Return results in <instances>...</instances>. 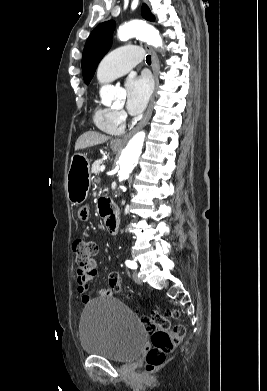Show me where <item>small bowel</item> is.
Here are the masks:
<instances>
[{
  "label": "small bowel",
  "mask_w": 267,
  "mask_h": 391,
  "mask_svg": "<svg viewBox=\"0 0 267 391\" xmlns=\"http://www.w3.org/2000/svg\"><path fill=\"white\" fill-rule=\"evenodd\" d=\"M78 218L81 220H87L89 212L86 207H81L77 212ZM97 269L96 263L94 262L90 269L86 271H76V282H77V291L80 294L81 301L83 303H88L90 301V297L87 294L89 282L96 276ZM113 294V291L108 289L100 290L98 296L100 298L110 297Z\"/></svg>",
  "instance_id": "c3829d8e"
}]
</instances>
